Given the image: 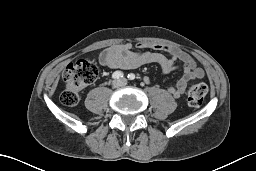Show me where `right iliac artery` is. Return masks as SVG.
Returning a JSON list of instances; mask_svg holds the SVG:
<instances>
[{
    "label": "right iliac artery",
    "mask_w": 256,
    "mask_h": 171,
    "mask_svg": "<svg viewBox=\"0 0 256 171\" xmlns=\"http://www.w3.org/2000/svg\"><path fill=\"white\" fill-rule=\"evenodd\" d=\"M123 73L121 71H115L113 74H112V78L113 79H119V78H122L123 77Z\"/></svg>",
    "instance_id": "1"
}]
</instances>
